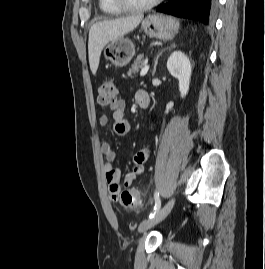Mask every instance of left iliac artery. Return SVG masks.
<instances>
[{"label": "left iliac artery", "instance_id": "44dca946", "mask_svg": "<svg viewBox=\"0 0 265 269\" xmlns=\"http://www.w3.org/2000/svg\"><path fill=\"white\" fill-rule=\"evenodd\" d=\"M154 198H155V206L153 211L150 213L149 218H152L160 209L161 207V200H160V196H159V192H155L154 194Z\"/></svg>", "mask_w": 265, "mask_h": 269}]
</instances>
